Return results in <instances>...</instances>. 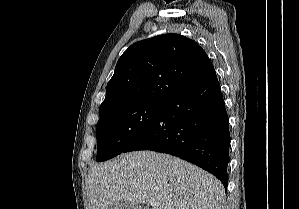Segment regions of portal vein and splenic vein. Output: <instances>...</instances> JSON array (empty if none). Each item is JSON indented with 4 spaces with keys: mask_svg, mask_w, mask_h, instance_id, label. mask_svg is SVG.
<instances>
[{
    "mask_svg": "<svg viewBox=\"0 0 299 209\" xmlns=\"http://www.w3.org/2000/svg\"><path fill=\"white\" fill-rule=\"evenodd\" d=\"M149 204H150L151 206H155V205H156V202H155L154 200H151V201L149 202Z\"/></svg>",
    "mask_w": 299,
    "mask_h": 209,
    "instance_id": "18ae733b",
    "label": "portal vein and splenic vein"
}]
</instances>
